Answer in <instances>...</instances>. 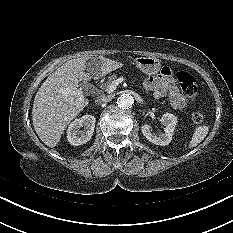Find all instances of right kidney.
Instances as JSON below:
<instances>
[{"mask_svg": "<svg viewBox=\"0 0 233 233\" xmlns=\"http://www.w3.org/2000/svg\"><path fill=\"white\" fill-rule=\"evenodd\" d=\"M96 118L92 115H84L70 123L67 129V140L73 146L87 143L94 132ZM84 127L83 130H80Z\"/></svg>", "mask_w": 233, "mask_h": 233, "instance_id": "right-kidney-1", "label": "right kidney"}]
</instances>
